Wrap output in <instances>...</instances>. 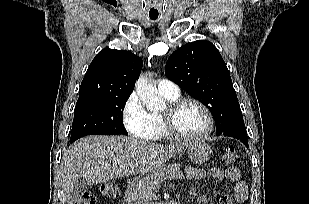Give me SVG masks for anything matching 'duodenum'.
I'll use <instances>...</instances> for the list:
<instances>
[{
  "label": "duodenum",
  "mask_w": 309,
  "mask_h": 204,
  "mask_svg": "<svg viewBox=\"0 0 309 204\" xmlns=\"http://www.w3.org/2000/svg\"><path fill=\"white\" fill-rule=\"evenodd\" d=\"M138 185V180L135 178L130 179L127 182V187L125 191V197H124V204H132L134 194H135V189Z\"/></svg>",
  "instance_id": "1"
}]
</instances>
